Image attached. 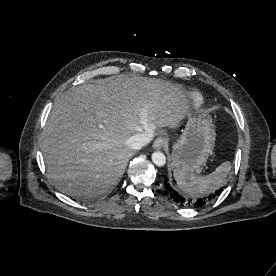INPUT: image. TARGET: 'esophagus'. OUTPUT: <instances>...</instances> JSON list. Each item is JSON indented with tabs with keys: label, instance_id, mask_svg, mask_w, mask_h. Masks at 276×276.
I'll list each match as a JSON object with an SVG mask.
<instances>
[{
	"label": "esophagus",
	"instance_id": "obj_1",
	"mask_svg": "<svg viewBox=\"0 0 276 276\" xmlns=\"http://www.w3.org/2000/svg\"><path fill=\"white\" fill-rule=\"evenodd\" d=\"M165 145H166V140L162 136L158 137L153 143V147L157 150L164 148Z\"/></svg>",
	"mask_w": 276,
	"mask_h": 276
}]
</instances>
